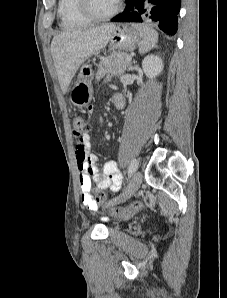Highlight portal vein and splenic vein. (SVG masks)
I'll list each match as a JSON object with an SVG mask.
<instances>
[{"instance_id": "18ae733b", "label": "portal vein and splenic vein", "mask_w": 227, "mask_h": 298, "mask_svg": "<svg viewBox=\"0 0 227 298\" xmlns=\"http://www.w3.org/2000/svg\"><path fill=\"white\" fill-rule=\"evenodd\" d=\"M125 60L128 61V62H130V61L132 60V57L128 55V56L125 58Z\"/></svg>"}]
</instances>
